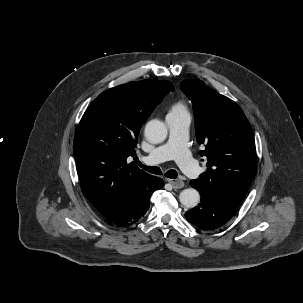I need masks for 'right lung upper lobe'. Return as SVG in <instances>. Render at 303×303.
Returning <instances> with one entry per match:
<instances>
[{"mask_svg":"<svg viewBox=\"0 0 303 303\" xmlns=\"http://www.w3.org/2000/svg\"><path fill=\"white\" fill-rule=\"evenodd\" d=\"M173 90L169 81L127 83L103 92L85 111L73 151L82 192L99 212L151 176L126 159L135 154L141 126Z\"/></svg>","mask_w":303,"mask_h":303,"instance_id":"obj_1","label":"right lung upper lobe"}]
</instances>
